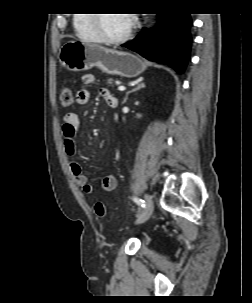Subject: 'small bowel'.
I'll return each mask as SVG.
<instances>
[{"instance_id": "1", "label": "small bowel", "mask_w": 252, "mask_h": 303, "mask_svg": "<svg viewBox=\"0 0 252 303\" xmlns=\"http://www.w3.org/2000/svg\"><path fill=\"white\" fill-rule=\"evenodd\" d=\"M95 76L91 73H86L82 76V87L77 91L76 103L79 105H85L90 98L89 87L95 82ZM105 102L110 107H115L117 104L116 98L104 88L100 89ZM81 128L80 120L76 113L67 112L64 116V122L62 125L63 142L62 146L66 154L70 157H74L76 154V135ZM70 170L75 178L77 184L81 187L82 191L89 195L94 191L93 185L89 182L88 177L84 174L82 167L74 159L70 161ZM117 186V179L113 174L105 175L101 180V189L104 192H111Z\"/></svg>"}]
</instances>
